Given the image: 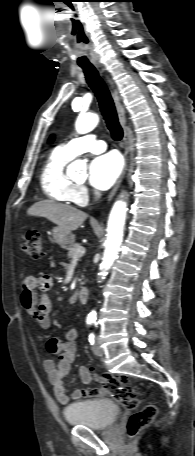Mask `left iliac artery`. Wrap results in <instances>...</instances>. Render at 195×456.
<instances>
[{"mask_svg": "<svg viewBox=\"0 0 195 456\" xmlns=\"http://www.w3.org/2000/svg\"><path fill=\"white\" fill-rule=\"evenodd\" d=\"M89 342H90V344H93V343H94V334H93V333H91V334L89 335Z\"/></svg>", "mask_w": 195, "mask_h": 456, "instance_id": "1", "label": "left iliac artery"}]
</instances>
